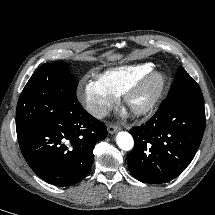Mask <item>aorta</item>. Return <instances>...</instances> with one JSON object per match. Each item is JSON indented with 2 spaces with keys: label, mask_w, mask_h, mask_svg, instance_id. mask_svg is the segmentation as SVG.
<instances>
[{
  "label": "aorta",
  "mask_w": 215,
  "mask_h": 215,
  "mask_svg": "<svg viewBox=\"0 0 215 215\" xmlns=\"http://www.w3.org/2000/svg\"><path fill=\"white\" fill-rule=\"evenodd\" d=\"M116 142L120 149L128 151L134 146V140L131 134L121 131L116 136Z\"/></svg>",
  "instance_id": "762f6f07"
}]
</instances>
